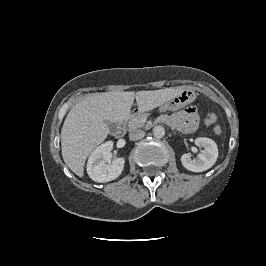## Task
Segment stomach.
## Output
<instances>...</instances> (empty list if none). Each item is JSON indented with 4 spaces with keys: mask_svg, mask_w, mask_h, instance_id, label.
<instances>
[{
    "mask_svg": "<svg viewBox=\"0 0 266 266\" xmlns=\"http://www.w3.org/2000/svg\"><path fill=\"white\" fill-rule=\"evenodd\" d=\"M195 99L194 92L189 88H183L177 95L170 98L160 106L161 111L179 109Z\"/></svg>",
    "mask_w": 266,
    "mask_h": 266,
    "instance_id": "0dacf381",
    "label": "stomach"
}]
</instances>
